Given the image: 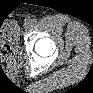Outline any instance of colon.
<instances>
[{
  "label": "colon",
  "mask_w": 93,
  "mask_h": 93,
  "mask_svg": "<svg viewBox=\"0 0 93 93\" xmlns=\"http://www.w3.org/2000/svg\"><path fill=\"white\" fill-rule=\"evenodd\" d=\"M14 40V32L7 26H3L1 29V41H0V51L2 57L5 59L12 54V46Z\"/></svg>",
  "instance_id": "5ec220e1"
}]
</instances>
